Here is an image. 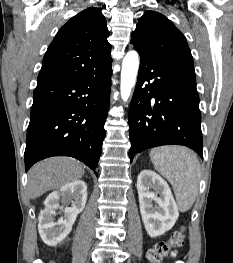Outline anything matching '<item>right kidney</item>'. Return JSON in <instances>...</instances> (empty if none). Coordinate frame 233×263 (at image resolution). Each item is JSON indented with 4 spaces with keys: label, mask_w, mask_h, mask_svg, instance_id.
<instances>
[{
    "label": "right kidney",
    "mask_w": 233,
    "mask_h": 263,
    "mask_svg": "<svg viewBox=\"0 0 233 263\" xmlns=\"http://www.w3.org/2000/svg\"><path fill=\"white\" fill-rule=\"evenodd\" d=\"M72 202L71 207L60 206L59 201ZM87 200V185L82 180L70 182L59 191L50 193L44 201L45 209L40 212L38 230L43 242L48 246H56L62 242L72 230L77 215L83 211ZM57 210L64 215L55 221Z\"/></svg>",
    "instance_id": "ca27d5eb"
}]
</instances>
